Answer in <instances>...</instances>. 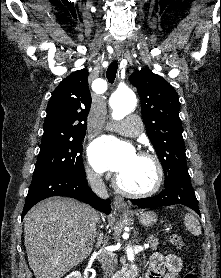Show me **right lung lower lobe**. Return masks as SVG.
I'll list each match as a JSON object with an SVG mask.
<instances>
[{
  "instance_id": "98d812e1",
  "label": "right lung lower lobe",
  "mask_w": 221,
  "mask_h": 278,
  "mask_svg": "<svg viewBox=\"0 0 221 278\" xmlns=\"http://www.w3.org/2000/svg\"><path fill=\"white\" fill-rule=\"evenodd\" d=\"M51 196H68L85 203L105 214L111 212L110 201L102 200L96 196L88 187L86 174H57L48 177L34 185H30L22 218L39 201Z\"/></svg>"
}]
</instances>
